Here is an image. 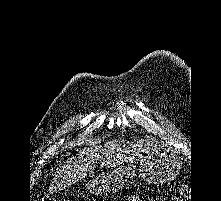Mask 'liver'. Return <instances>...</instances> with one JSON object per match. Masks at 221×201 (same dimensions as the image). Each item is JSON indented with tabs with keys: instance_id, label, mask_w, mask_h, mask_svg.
Listing matches in <instances>:
<instances>
[{
	"instance_id": "6515ba94",
	"label": "liver",
	"mask_w": 221,
	"mask_h": 201,
	"mask_svg": "<svg viewBox=\"0 0 221 201\" xmlns=\"http://www.w3.org/2000/svg\"><path fill=\"white\" fill-rule=\"evenodd\" d=\"M155 150L156 147L151 144H133L125 140H113L84 149L62 165L60 172L55 176L52 191L65 189L92 173L98 161L101 166L112 168L132 163Z\"/></svg>"
}]
</instances>
